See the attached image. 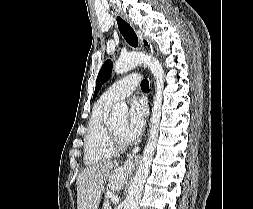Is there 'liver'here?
Instances as JSON below:
<instances>
[{
  "label": "liver",
  "mask_w": 253,
  "mask_h": 209,
  "mask_svg": "<svg viewBox=\"0 0 253 209\" xmlns=\"http://www.w3.org/2000/svg\"><path fill=\"white\" fill-rule=\"evenodd\" d=\"M125 168L116 161L104 162L85 168L77 176V209H98L104 183L113 191L121 190L127 179Z\"/></svg>",
  "instance_id": "obj_1"
}]
</instances>
